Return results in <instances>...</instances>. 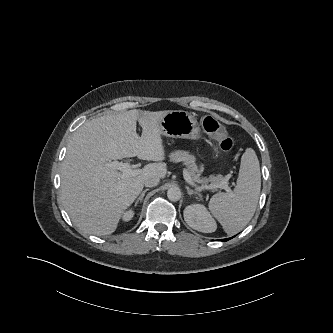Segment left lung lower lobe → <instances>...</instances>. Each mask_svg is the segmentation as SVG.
<instances>
[{
  "mask_svg": "<svg viewBox=\"0 0 333 333\" xmlns=\"http://www.w3.org/2000/svg\"><path fill=\"white\" fill-rule=\"evenodd\" d=\"M229 239H231V238L223 239V241L225 242V241H228Z\"/></svg>",
  "mask_w": 333,
  "mask_h": 333,
  "instance_id": "0a47b994",
  "label": "left lung lower lobe"
}]
</instances>
